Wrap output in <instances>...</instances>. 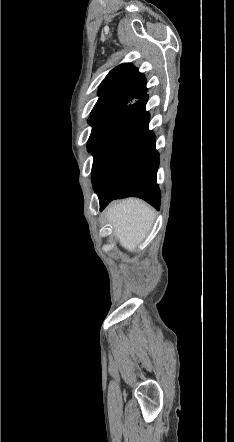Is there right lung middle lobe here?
<instances>
[{
    "mask_svg": "<svg viewBox=\"0 0 234 442\" xmlns=\"http://www.w3.org/2000/svg\"><path fill=\"white\" fill-rule=\"evenodd\" d=\"M117 114H106L95 117H90L88 119V123L92 126V132L90 138L88 140V151L92 152L99 140L106 132L110 124L114 121Z\"/></svg>",
    "mask_w": 234,
    "mask_h": 442,
    "instance_id": "obj_1",
    "label": "right lung middle lobe"
}]
</instances>
